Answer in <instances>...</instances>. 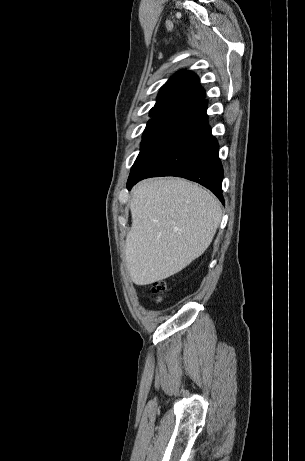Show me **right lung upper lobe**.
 <instances>
[{
  "label": "right lung upper lobe",
  "instance_id": "obj_1",
  "mask_svg": "<svg viewBox=\"0 0 305 461\" xmlns=\"http://www.w3.org/2000/svg\"><path fill=\"white\" fill-rule=\"evenodd\" d=\"M205 91L199 85L198 76L189 71H180L161 88L154 108L177 106L194 107L204 101Z\"/></svg>",
  "mask_w": 305,
  "mask_h": 461
}]
</instances>
